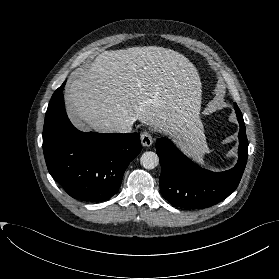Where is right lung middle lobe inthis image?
<instances>
[{"label": "right lung middle lobe", "instance_id": "obj_1", "mask_svg": "<svg viewBox=\"0 0 279 279\" xmlns=\"http://www.w3.org/2000/svg\"><path fill=\"white\" fill-rule=\"evenodd\" d=\"M55 97H56V96L53 94V96H52L50 102L54 101Z\"/></svg>", "mask_w": 279, "mask_h": 279}]
</instances>
